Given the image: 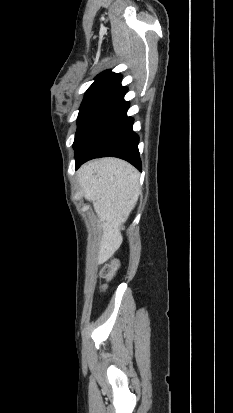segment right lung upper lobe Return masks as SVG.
<instances>
[{
  "label": "right lung upper lobe",
  "mask_w": 233,
  "mask_h": 413,
  "mask_svg": "<svg viewBox=\"0 0 233 413\" xmlns=\"http://www.w3.org/2000/svg\"><path fill=\"white\" fill-rule=\"evenodd\" d=\"M121 78H122V76L120 74H116V73L111 72L110 70H107V71L99 74L96 77L95 82H99V81H115V82H117Z\"/></svg>",
  "instance_id": "cb5924a9"
}]
</instances>
